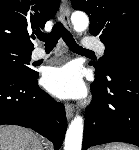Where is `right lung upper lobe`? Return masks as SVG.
I'll return each mask as SVG.
<instances>
[{
	"label": "right lung upper lobe",
	"mask_w": 139,
	"mask_h": 150,
	"mask_svg": "<svg viewBox=\"0 0 139 150\" xmlns=\"http://www.w3.org/2000/svg\"><path fill=\"white\" fill-rule=\"evenodd\" d=\"M59 4L60 0H0V46L32 52L30 37L44 29Z\"/></svg>",
	"instance_id": "cb5924a9"
}]
</instances>
